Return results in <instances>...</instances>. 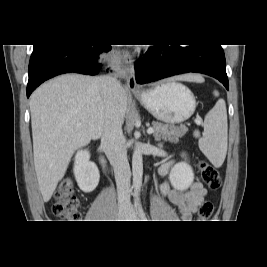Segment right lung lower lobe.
<instances>
[{
  "mask_svg": "<svg viewBox=\"0 0 267 267\" xmlns=\"http://www.w3.org/2000/svg\"><path fill=\"white\" fill-rule=\"evenodd\" d=\"M110 49V45H34L29 63L27 97L41 83L60 74H98L102 66L100 55Z\"/></svg>",
  "mask_w": 267,
  "mask_h": 267,
  "instance_id": "right-lung-lower-lobe-1",
  "label": "right lung lower lobe"
}]
</instances>
